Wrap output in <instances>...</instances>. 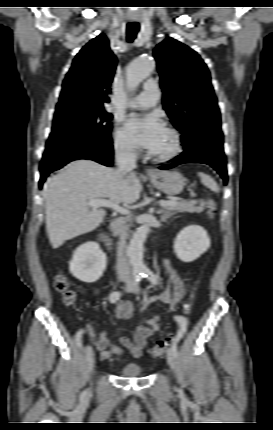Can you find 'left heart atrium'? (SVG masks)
Segmentation results:
<instances>
[{"mask_svg":"<svg viewBox=\"0 0 273 430\" xmlns=\"http://www.w3.org/2000/svg\"><path fill=\"white\" fill-rule=\"evenodd\" d=\"M126 126L133 140L151 152L158 147L166 131L163 122L153 114L143 117L133 115Z\"/></svg>","mask_w":273,"mask_h":430,"instance_id":"39dd6f15","label":"left heart atrium"}]
</instances>
